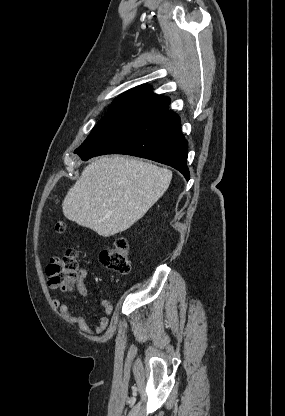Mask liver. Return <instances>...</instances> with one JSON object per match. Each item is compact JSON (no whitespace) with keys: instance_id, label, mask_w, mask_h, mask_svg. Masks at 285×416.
I'll return each instance as SVG.
<instances>
[{"instance_id":"6515ba94","label":"liver","mask_w":285,"mask_h":416,"mask_svg":"<svg viewBox=\"0 0 285 416\" xmlns=\"http://www.w3.org/2000/svg\"><path fill=\"white\" fill-rule=\"evenodd\" d=\"M172 172L123 156L84 168L62 202L65 218L103 238L125 232L165 194Z\"/></svg>"}]
</instances>
